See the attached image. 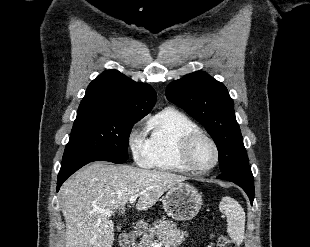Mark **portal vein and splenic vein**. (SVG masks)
Instances as JSON below:
<instances>
[{
    "mask_svg": "<svg viewBox=\"0 0 310 247\" xmlns=\"http://www.w3.org/2000/svg\"><path fill=\"white\" fill-rule=\"evenodd\" d=\"M138 196H139L138 194L131 196L130 199H129V203L133 204L136 201ZM98 212L101 213V214H104V215H106L108 217H111L112 215H114V212L113 211H109V210H99ZM161 246H162L161 243H153V244L150 245V247H161Z\"/></svg>",
    "mask_w": 310,
    "mask_h": 247,
    "instance_id": "obj_1",
    "label": "portal vein and splenic vein"
}]
</instances>
